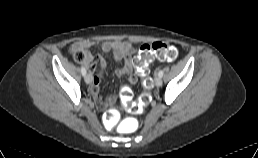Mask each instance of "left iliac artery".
Masks as SVG:
<instances>
[{"label":"left iliac artery","mask_w":258,"mask_h":158,"mask_svg":"<svg viewBox=\"0 0 258 158\" xmlns=\"http://www.w3.org/2000/svg\"><path fill=\"white\" fill-rule=\"evenodd\" d=\"M158 76L162 78V76H163V70H160V71L158 72Z\"/></svg>","instance_id":"obj_1"}]
</instances>
